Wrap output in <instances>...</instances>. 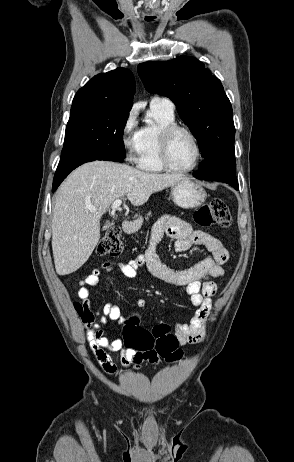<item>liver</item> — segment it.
<instances>
[{"label": "liver", "mask_w": 294, "mask_h": 462, "mask_svg": "<svg viewBox=\"0 0 294 462\" xmlns=\"http://www.w3.org/2000/svg\"><path fill=\"white\" fill-rule=\"evenodd\" d=\"M183 178V174L149 173L108 161L78 167L55 196L52 250L57 274H71L88 260L100 239V219L115 200L127 195L132 205L141 206L153 193Z\"/></svg>", "instance_id": "obj_1"}]
</instances>
